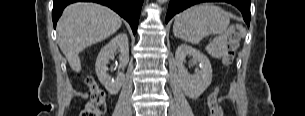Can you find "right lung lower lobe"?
I'll use <instances>...</instances> for the list:
<instances>
[{
	"label": "right lung lower lobe",
	"instance_id": "98d812e1",
	"mask_svg": "<svg viewBox=\"0 0 305 116\" xmlns=\"http://www.w3.org/2000/svg\"><path fill=\"white\" fill-rule=\"evenodd\" d=\"M78 1L96 2L110 7L126 19L131 25L133 33H136L143 0H53L52 19L54 28L63 9L68 4Z\"/></svg>",
	"mask_w": 305,
	"mask_h": 116
}]
</instances>
